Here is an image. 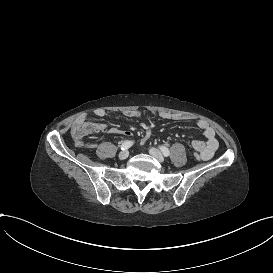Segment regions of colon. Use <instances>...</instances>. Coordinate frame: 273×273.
<instances>
[{
  "label": "colon",
  "instance_id": "5ec220e1",
  "mask_svg": "<svg viewBox=\"0 0 273 273\" xmlns=\"http://www.w3.org/2000/svg\"><path fill=\"white\" fill-rule=\"evenodd\" d=\"M93 133H94L93 125L90 123H87L86 119L83 117L76 118L70 124L69 135L73 139H78L81 137V135H83L85 137H90L93 135ZM148 136H150V135H148ZM139 145H141V144H139Z\"/></svg>",
  "mask_w": 273,
  "mask_h": 273
}]
</instances>
